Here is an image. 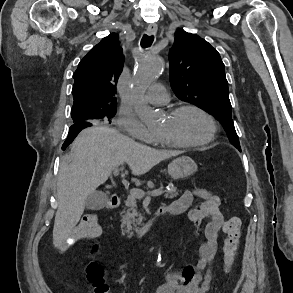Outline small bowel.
Returning a JSON list of instances; mask_svg holds the SVG:
<instances>
[{"mask_svg": "<svg viewBox=\"0 0 293 293\" xmlns=\"http://www.w3.org/2000/svg\"><path fill=\"white\" fill-rule=\"evenodd\" d=\"M201 201L193 204L194 198ZM178 213L188 211V218L198 234L204 226L205 241L199 248V260L180 271L169 272L156 293H208L213 282L212 262L218 249V237L225 219L220 211V198L205 189L185 191L171 205Z\"/></svg>", "mask_w": 293, "mask_h": 293, "instance_id": "1", "label": "small bowel"}]
</instances>
